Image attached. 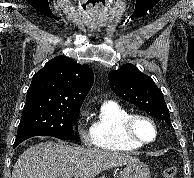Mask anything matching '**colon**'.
I'll use <instances>...</instances> for the list:
<instances>
[{"instance_id": "colon-1", "label": "colon", "mask_w": 194, "mask_h": 178, "mask_svg": "<svg viewBox=\"0 0 194 178\" xmlns=\"http://www.w3.org/2000/svg\"><path fill=\"white\" fill-rule=\"evenodd\" d=\"M177 171L174 167L165 168L162 171L163 178H176Z\"/></svg>"}]
</instances>
